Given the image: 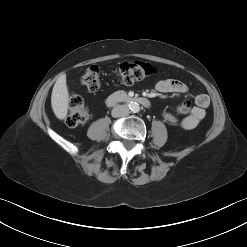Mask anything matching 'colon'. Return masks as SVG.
Segmentation results:
<instances>
[{"instance_id":"obj_1","label":"colon","mask_w":247,"mask_h":247,"mask_svg":"<svg viewBox=\"0 0 247 247\" xmlns=\"http://www.w3.org/2000/svg\"><path fill=\"white\" fill-rule=\"evenodd\" d=\"M155 72L152 65L145 62H123L117 70L118 80L123 85H132L139 82ZM80 83L89 91H98L101 87V72L97 66H90L80 77ZM191 109L189 101L183 102L178 108L177 113L180 115L187 114ZM89 119V113L84 105L82 97L73 93L70 97L69 109L66 116V124L69 127H76L84 124Z\"/></svg>"}]
</instances>
